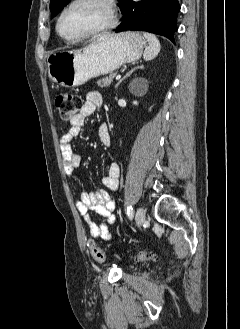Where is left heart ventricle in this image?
<instances>
[{"instance_id": "obj_1", "label": "left heart ventricle", "mask_w": 240, "mask_h": 329, "mask_svg": "<svg viewBox=\"0 0 240 329\" xmlns=\"http://www.w3.org/2000/svg\"><path fill=\"white\" fill-rule=\"evenodd\" d=\"M109 22V11L100 0H82L72 6L60 22L66 37H76L102 27Z\"/></svg>"}]
</instances>
